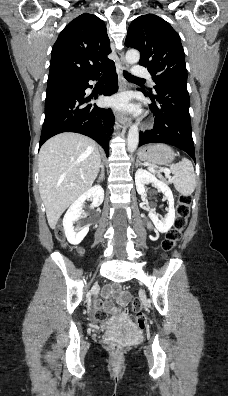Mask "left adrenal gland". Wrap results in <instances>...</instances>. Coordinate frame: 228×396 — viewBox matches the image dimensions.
I'll return each mask as SVG.
<instances>
[{"instance_id": "a2214340", "label": "left adrenal gland", "mask_w": 228, "mask_h": 396, "mask_svg": "<svg viewBox=\"0 0 228 396\" xmlns=\"http://www.w3.org/2000/svg\"><path fill=\"white\" fill-rule=\"evenodd\" d=\"M136 166H142V163L140 162V160L136 161Z\"/></svg>"}]
</instances>
